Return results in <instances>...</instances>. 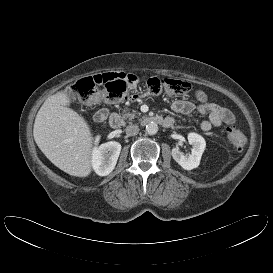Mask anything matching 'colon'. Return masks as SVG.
I'll return each instance as SVG.
<instances>
[{"instance_id": "5ec220e1", "label": "colon", "mask_w": 273, "mask_h": 273, "mask_svg": "<svg viewBox=\"0 0 273 273\" xmlns=\"http://www.w3.org/2000/svg\"><path fill=\"white\" fill-rule=\"evenodd\" d=\"M131 76L124 73H102L89 76L77 81L71 88L73 100L82 104H93L99 100L114 103L121 100L134 99L127 91V83ZM103 86L104 91L99 93L97 86ZM147 93L158 96L166 93L170 96H181L187 94L191 85L187 81L175 78H149L146 82ZM227 135L231 144L237 150H243L247 144V138L243 132L235 128H228Z\"/></svg>"}]
</instances>
